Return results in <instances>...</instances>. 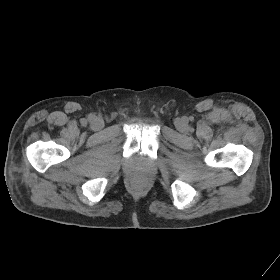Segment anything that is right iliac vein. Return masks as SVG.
Segmentation results:
<instances>
[{"mask_svg":"<svg viewBox=\"0 0 280 280\" xmlns=\"http://www.w3.org/2000/svg\"><path fill=\"white\" fill-rule=\"evenodd\" d=\"M104 127V121L101 118H94L91 122V128L94 130H100Z\"/></svg>","mask_w":280,"mask_h":280,"instance_id":"right-iliac-vein-1","label":"right iliac vein"}]
</instances>
